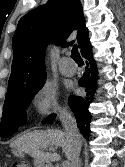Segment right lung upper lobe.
Masks as SVG:
<instances>
[{
  "label": "right lung upper lobe",
  "mask_w": 125,
  "mask_h": 167,
  "mask_svg": "<svg viewBox=\"0 0 125 167\" xmlns=\"http://www.w3.org/2000/svg\"><path fill=\"white\" fill-rule=\"evenodd\" d=\"M80 0H49L18 22L13 36V62L6 98L18 96L44 84L46 70L45 47L49 43L69 46L65 40L78 29V47L88 41Z\"/></svg>",
  "instance_id": "1"
}]
</instances>
